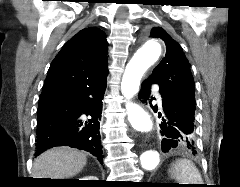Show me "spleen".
Returning <instances> with one entry per match:
<instances>
[{
  "instance_id": "1",
  "label": "spleen",
  "mask_w": 240,
  "mask_h": 187,
  "mask_svg": "<svg viewBox=\"0 0 240 187\" xmlns=\"http://www.w3.org/2000/svg\"><path fill=\"white\" fill-rule=\"evenodd\" d=\"M172 174L182 184H202L201 174L190 160L180 159L173 165Z\"/></svg>"
}]
</instances>
